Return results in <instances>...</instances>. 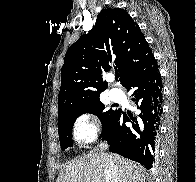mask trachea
<instances>
[{"label":"trachea","mask_w":196,"mask_h":182,"mask_svg":"<svg viewBox=\"0 0 196 182\" xmlns=\"http://www.w3.org/2000/svg\"><path fill=\"white\" fill-rule=\"evenodd\" d=\"M115 79L118 80V79H119V75H116V76H115Z\"/></svg>","instance_id":"trachea-1"}]
</instances>
